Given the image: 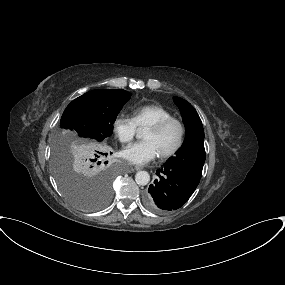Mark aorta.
Instances as JSON below:
<instances>
[{
    "label": "aorta",
    "mask_w": 285,
    "mask_h": 285,
    "mask_svg": "<svg viewBox=\"0 0 285 285\" xmlns=\"http://www.w3.org/2000/svg\"><path fill=\"white\" fill-rule=\"evenodd\" d=\"M137 137L141 138V134L138 132ZM135 181L138 185L145 186L150 181V175L147 171H139L135 175Z\"/></svg>",
    "instance_id": "762f6f07"
}]
</instances>
